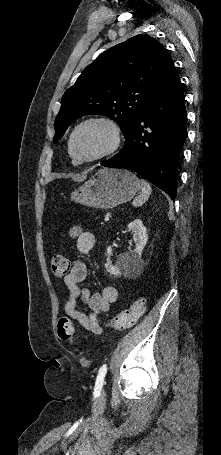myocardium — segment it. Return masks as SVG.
<instances>
[{
  "label": "myocardium",
  "mask_w": 221,
  "mask_h": 455,
  "mask_svg": "<svg viewBox=\"0 0 221 455\" xmlns=\"http://www.w3.org/2000/svg\"><path fill=\"white\" fill-rule=\"evenodd\" d=\"M89 125H97L105 128L109 133L110 142L108 147L91 157L80 158L74 150V143L78 133ZM122 140L121 129L118 123L107 116H91L80 121L73 129L69 139V152L73 160L77 163H88L101 160L114 153L120 146Z\"/></svg>",
  "instance_id": "myocardium-1"
}]
</instances>
